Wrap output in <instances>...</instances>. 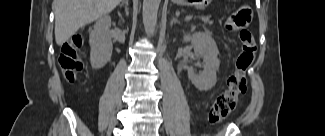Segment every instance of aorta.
<instances>
[{
    "label": "aorta",
    "mask_w": 325,
    "mask_h": 136,
    "mask_svg": "<svg viewBox=\"0 0 325 136\" xmlns=\"http://www.w3.org/2000/svg\"><path fill=\"white\" fill-rule=\"evenodd\" d=\"M159 5L160 0H143V24L146 33L150 36L155 32Z\"/></svg>",
    "instance_id": "1"
}]
</instances>
